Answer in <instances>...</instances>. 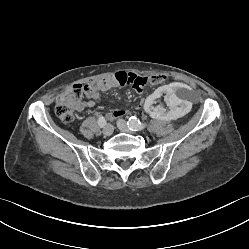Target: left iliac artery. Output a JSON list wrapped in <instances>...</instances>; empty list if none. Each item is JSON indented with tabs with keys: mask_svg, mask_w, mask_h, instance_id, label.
Returning a JSON list of instances; mask_svg holds the SVG:
<instances>
[{
	"mask_svg": "<svg viewBox=\"0 0 249 249\" xmlns=\"http://www.w3.org/2000/svg\"><path fill=\"white\" fill-rule=\"evenodd\" d=\"M127 125L130 130L132 131H141L144 128H146L145 123H141L136 117L132 116L129 118V121L127 122Z\"/></svg>",
	"mask_w": 249,
	"mask_h": 249,
	"instance_id": "left-iliac-artery-1",
	"label": "left iliac artery"
}]
</instances>
